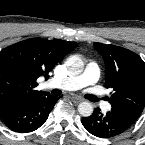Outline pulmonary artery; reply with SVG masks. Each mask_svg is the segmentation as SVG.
<instances>
[{"label": "pulmonary artery", "instance_id": "pulmonary-artery-1", "mask_svg": "<svg viewBox=\"0 0 145 145\" xmlns=\"http://www.w3.org/2000/svg\"><path fill=\"white\" fill-rule=\"evenodd\" d=\"M99 77L100 70L97 63L90 61L81 75L62 79H51L47 82V86L64 90H77L88 85H95ZM102 107L104 110L108 111L111 105L105 102L102 104Z\"/></svg>", "mask_w": 145, "mask_h": 145}]
</instances>
